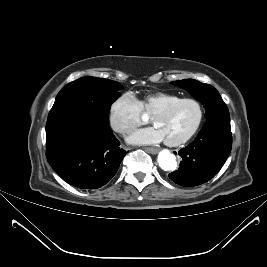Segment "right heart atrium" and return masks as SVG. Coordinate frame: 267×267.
I'll use <instances>...</instances> for the list:
<instances>
[{
	"label": "right heart atrium",
	"instance_id": "obj_1",
	"mask_svg": "<svg viewBox=\"0 0 267 267\" xmlns=\"http://www.w3.org/2000/svg\"><path fill=\"white\" fill-rule=\"evenodd\" d=\"M142 113L139 100L132 93L125 92L111 103L109 122L116 132L126 135L142 124Z\"/></svg>",
	"mask_w": 267,
	"mask_h": 267
}]
</instances>
